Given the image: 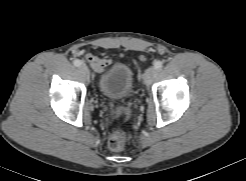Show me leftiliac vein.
<instances>
[{
  "mask_svg": "<svg viewBox=\"0 0 246 181\" xmlns=\"http://www.w3.org/2000/svg\"><path fill=\"white\" fill-rule=\"evenodd\" d=\"M157 73V69L155 67H149L143 77V81L146 85H150Z\"/></svg>",
  "mask_w": 246,
  "mask_h": 181,
  "instance_id": "1",
  "label": "left iliac vein"
}]
</instances>
